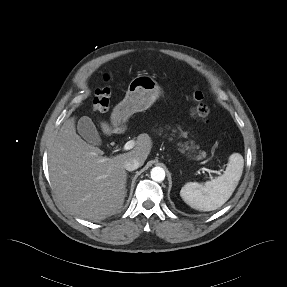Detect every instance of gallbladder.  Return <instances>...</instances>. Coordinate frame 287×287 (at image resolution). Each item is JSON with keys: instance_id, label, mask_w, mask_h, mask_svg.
<instances>
[{"instance_id": "1", "label": "gallbladder", "mask_w": 287, "mask_h": 287, "mask_svg": "<svg viewBox=\"0 0 287 287\" xmlns=\"http://www.w3.org/2000/svg\"><path fill=\"white\" fill-rule=\"evenodd\" d=\"M78 133L89 143L100 145L101 139L91 118L83 116L77 123Z\"/></svg>"}]
</instances>
